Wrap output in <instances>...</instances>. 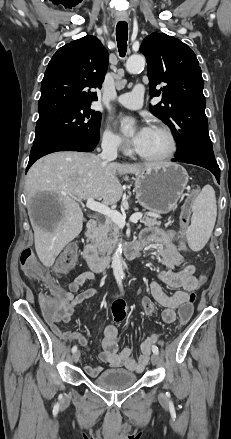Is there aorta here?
I'll use <instances>...</instances> for the list:
<instances>
[{"label":"aorta","mask_w":231,"mask_h":439,"mask_svg":"<svg viewBox=\"0 0 231 439\" xmlns=\"http://www.w3.org/2000/svg\"><path fill=\"white\" fill-rule=\"evenodd\" d=\"M145 67V58L142 55H132L127 59L126 69L130 73H137ZM132 132V130H130ZM122 246L119 245L112 257V269L115 278H123L125 276L122 263Z\"/></svg>","instance_id":"1"}]
</instances>
